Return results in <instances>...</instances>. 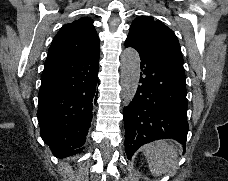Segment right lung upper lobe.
Wrapping results in <instances>:
<instances>
[{
  "instance_id": "right-lung-upper-lobe-1",
  "label": "right lung upper lobe",
  "mask_w": 228,
  "mask_h": 181,
  "mask_svg": "<svg viewBox=\"0 0 228 181\" xmlns=\"http://www.w3.org/2000/svg\"><path fill=\"white\" fill-rule=\"evenodd\" d=\"M99 38L89 18L64 25L54 37L45 66L64 62L99 50Z\"/></svg>"
}]
</instances>
